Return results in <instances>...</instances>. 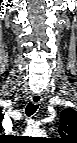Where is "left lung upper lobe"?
<instances>
[{
  "label": "left lung upper lobe",
  "instance_id": "obj_1",
  "mask_svg": "<svg viewBox=\"0 0 77 143\" xmlns=\"http://www.w3.org/2000/svg\"><path fill=\"white\" fill-rule=\"evenodd\" d=\"M59 133L62 143H69L77 140V112L65 109L61 112V124Z\"/></svg>",
  "mask_w": 77,
  "mask_h": 143
}]
</instances>
